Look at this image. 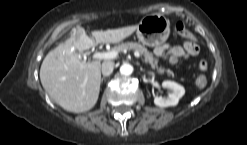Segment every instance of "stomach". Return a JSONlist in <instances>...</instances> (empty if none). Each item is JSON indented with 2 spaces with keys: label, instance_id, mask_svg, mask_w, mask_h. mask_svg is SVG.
Instances as JSON below:
<instances>
[{
  "label": "stomach",
  "instance_id": "0dacf381",
  "mask_svg": "<svg viewBox=\"0 0 247 145\" xmlns=\"http://www.w3.org/2000/svg\"><path fill=\"white\" fill-rule=\"evenodd\" d=\"M170 34V21L162 15L152 14L142 18L137 26L138 40L154 47L164 43Z\"/></svg>",
  "mask_w": 247,
  "mask_h": 145
}]
</instances>
